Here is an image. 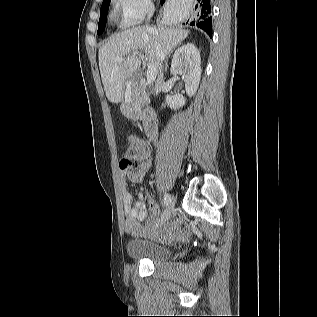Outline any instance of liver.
Instances as JSON below:
<instances>
[{"label":"liver","instance_id":"6515ba94","mask_svg":"<svg viewBox=\"0 0 317 317\" xmlns=\"http://www.w3.org/2000/svg\"><path fill=\"white\" fill-rule=\"evenodd\" d=\"M180 28L133 27L113 36L99 49V68L106 96L111 103L124 99L126 82L134 77L141 61L137 56L144 51L147 59L157 71L161 69L158 50L165 56L189 34ZM122 58V60H119Z\"/></svg>","mask_w":317,"mask_h":317}]
</instances>
